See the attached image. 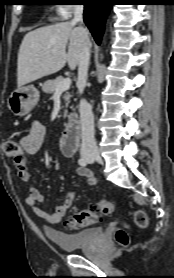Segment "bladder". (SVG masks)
Returning <instances> with one entry per match:
<instances>
[{
	"instance_id": "1",
	"label": "bladder",
	"mask_w": 174,
	"mask_h": 278,
	"mask_svg": "<svg viewBox=\"0 0 174 278\" xmlns=\"http://www.w3.org/2000/svg\"><path fill=\"white\" fill-rule=\"evenodd\" d=\"M47 234L50 240L61 250L74 251L97 241L102 235V229L100 227H92L76 233L50 230Z\"/></svg>"
}]
</instances>
